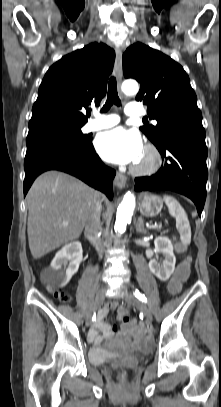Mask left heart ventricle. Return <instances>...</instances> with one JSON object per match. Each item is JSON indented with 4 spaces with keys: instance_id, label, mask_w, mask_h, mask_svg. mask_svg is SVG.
I'll use <instances>...</instances> for the list:
<instances>
[{
    "instance_id": "left-heart-ventricle-1",
    "label": "left heart ventricle",
    "mask_w": 221,
    "mask_h": 407,
    "mask_svg": "<svg viewBox=\"0 0 221 407\" xmlns=\"http://www.w3.org/2000/svg\"><path fill=\"white\" fill-rule=\"evenodd\" d=\"M149 163V156L143 151L140 159L136 162L139 166H144Z\"/></svg>"
}]
</instances>
